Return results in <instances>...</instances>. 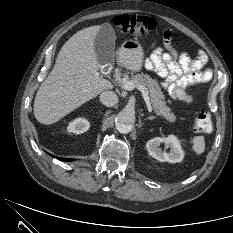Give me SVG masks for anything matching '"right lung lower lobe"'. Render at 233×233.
<instances>
[{
  "instance_id": "obj_1",
  "label": "right lung lower lobe",
  "mask_w": 233,
  "mask_h": 233,
  "mask_svg": "<svg viewBox=\"0 0 233 233\" xmlns=\"http://www.w3.org/2000/svg\"><path fill=\"white\" fill-rule=\"evenodd\" d=\"M52 157H54L53 155H51ZM58 158V157H56ZM59 160H62V161H72L73 159L71 158H58Z\"/></svg>"
}]
</instances>
